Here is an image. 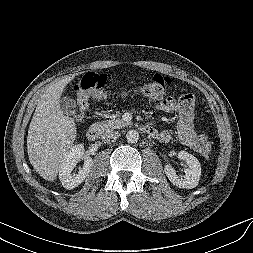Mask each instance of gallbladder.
<instances>
[{
  "mask_svg": "<svg viewBox=\"0 0 253 253\" xmlns=\"http://www.w3.org/2000/svg\"><path fill=\"white\" fill-rule=\"evenodd\" d=\"M60 109L67 116H74L77 112V103L73 98L64 96L60 100Z\"/></svg>",
  "mask_w": 253,
  "mask_h": 253,
  "instance_id": "obj_1",
  "label": "gallbladder"
}]
</instances>
